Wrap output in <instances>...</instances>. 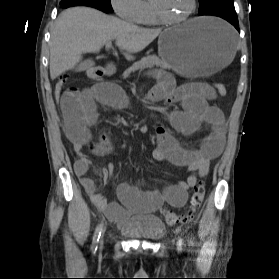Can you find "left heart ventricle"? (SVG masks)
Here are the masks:
<instances>
[{"label": "left heart ventricle", "mask_w": 279, "mask_h": 279, "mask_svg": "<svg viewBox=\"0 0 279 279\" xmlns=\"http://www.w3.org/2000/svg\"><path fill=\"white\" fill-rule=\"evenodd\" d=\"M163 13L170 18L183 16L191 6V0H158Z\"/></svg>", "instance_id": "left-heart-ventricle-1"}]
</instances>
